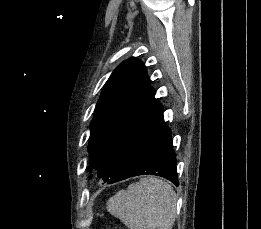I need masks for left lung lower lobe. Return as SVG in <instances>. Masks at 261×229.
Returning <instances> with one entry per match:
<instances>
[{"label":"left lung lower lobe","mask_w":261,"mask_h":229,"mask_svg":"<svg viewBox=\"0 0 261 229\" xmlns=\"http://www.w3.org/2000/svg\"><path fill=\"white\" fill-rule=\"evenodd\" d=\"M162 109L153 98L108 149L97 169L99 178L115 183L137 175L152 174L178 186L176 154Z\"/></svg>","instance_id":"1"}]
</instances>
